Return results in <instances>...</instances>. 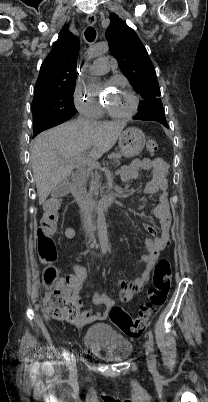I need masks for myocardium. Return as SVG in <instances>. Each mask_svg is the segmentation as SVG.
I'll return each mask as SVG.
<instances>
[{
	"mask_svg": "<svg viewBox=\"0 0 208 402\" xmlns=\"http://www.w3.org/2000/svg\"><path fill=\"white\" fill-rule=\"evenodd\" d=\"M123 91L127 92L132 98H133V106L132 108L128 111V112H118L116 110H114L109 103L107 102L106 99H102L101 98V103L103 108L113 117L118 118V119H127V118H131L132 116H134L140 107V98L139 96L136 94V92H134L133 90H131L130 88L124 87Z\"/></svg>",
	"mask_w": 208,
	"mask_h": 402,
	"instance_id": "f54148a6",
	"label": "myocardium"
}]
</instances>
